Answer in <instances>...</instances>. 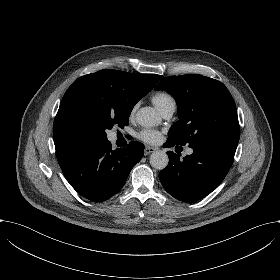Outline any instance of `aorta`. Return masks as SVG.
I'll list each match as a JSON object with an SVG mask.
<instances>
[{
	"label": "aorta",
	"mask_w": 280,
	"mask_h": 280,
	"mask_svg": "<svg viewBox=\"0 0 280 280\" xmlns=\"http://www.w3.org/2000/svg\"><path fill=\"white\" fill-rule=\"evenodd\" d=\"M136 120L144 128H152L160 125L162 122L161 116L152 107L140 108L136 113ZM168 162V155L162 150L154 151L150 156V164L157 170L165 169Z\"/></svg>",
	"instance_id": "aorta-1"
}]
</instances>
